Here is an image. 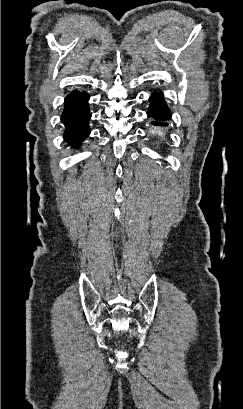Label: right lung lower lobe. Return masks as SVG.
I'll list each match as a JSON object with an SVG mask.
<instances>
[{"mask_svg": "<svg viewBox=\"0 0 243 409\" xmlns=\"http://www.w3.org/2000/svg\"><path fill=\"white\" fill-rule=\"evenodd\" d=\"M89 95L86 92L73 91L65 99V108L61 119L65 125V139L77 147L90 133L88 121L91 117L88 107Z\"/></svg>", "mask_w": 243, "mask_h": 409, "instance_id": "98d812e1", "label": "right lung lower lobe"}]
</instances>
